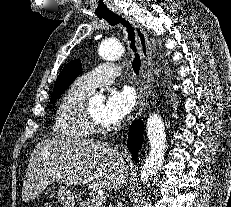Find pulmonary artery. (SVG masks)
I'll list each match as a JSON object with an SVG mask.
<instances>
[{"mask_svg":"<svg viewBox=\"0 0 231 207\" xmlns=\"http://www.w3.org/2000/svg\"><path fill=\"white\" fill-rule=\"evenodd\" d=\"M119 74L118 66L112 63H103L81 75L75 84L79 89L91 93L97 87L111 84Z\"/></svg>","mask_w":231,"mask_h":207,"instance_id":"obj_1","label":"pulmonary artery"}]
</instances>
